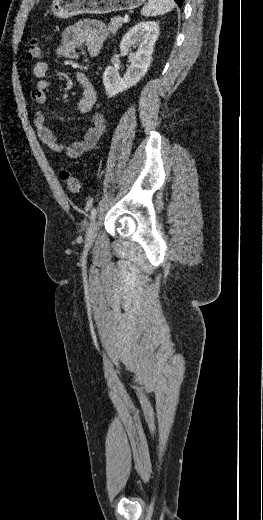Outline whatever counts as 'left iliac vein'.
<instances>
[{
	"mask_svg": "<svg viewBox=\"0 0 263 520\" xmlns=\"http://www.w3.org/2000/svg\"><path fill=\"white\" fill-rule=\"evenodd\" d=\"M98 233V222L96 220H93L90 224L87 234H86V242L88 244H92L97 236Z\"/></svg>",
	"mask_w": 263,
	"mask_h": 520,
	"instance_id": "obj_1",
	"label": "left iliac vein"
}]
</instances>
